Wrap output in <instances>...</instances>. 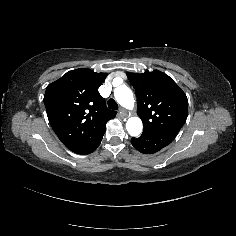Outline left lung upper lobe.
<instances>
[{"mask_svg": "<svg viewBox=\"0 0 236 236\" xmlns=\"http://www.w3.org/2000/svg\"><path fill=\"white\" fill-rule=\"evenodd\" d=\"M138 100L137 114L146 133L176 137L187 118L188 99L165 73H127Z\"/></svg>", "mask_w": 236, "mask_h": 236, "instance_id": "1", "label": "left lung upper lobe"}]
</instances>
